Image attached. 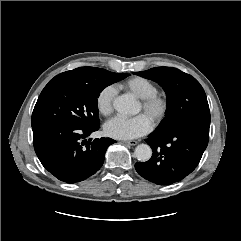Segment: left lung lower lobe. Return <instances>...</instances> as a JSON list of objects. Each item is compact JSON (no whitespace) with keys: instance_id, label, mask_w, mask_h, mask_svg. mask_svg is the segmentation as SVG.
<instances>
[{"instance_id":"left-lung-lower-lobe-1","label":"left lung lower lobe","mask_w":241,"mask_h":241,"mask_svg":"<svg viewBox=\"0 0 241 241\" xmlns=\"http://www.w3.org/2000/svg\"><path fill=\"white\" fill-rule=\"evenodd\" d=\"M210 118H198L166 132L155 130L146 142L152 148L147 162H137L136 171L158 185H170L188 176L198 165L208 145Z\"/></svg>"}]
</instances>
